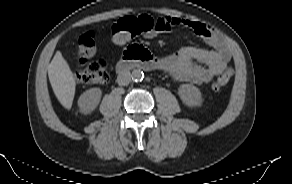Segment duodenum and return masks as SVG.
Masks as SVG:
<instances>
[{"mask_svg": "<svg viewBox=\"0 0 292 184\" xmlns=\"http://www.w3.org/2000/svg\"><path fill=\"white\" fill-rule=\"evenodd\" d=\"M161 65V61L142 47H133L125 52L124 58L117 64L119 74L126 72L130 67L137 69H154Z\"/></svg>", "mask_w": 292, "mask_h": 184, "instance_id": "410a0bca", "label": "duodenum"}]
</instances>
